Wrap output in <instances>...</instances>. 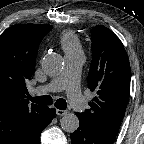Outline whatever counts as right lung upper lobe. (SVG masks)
Instances as JSON below:
<instances>
[{"mask_svg":"<svg viewBox=\"0 0 144 144\" xmlns=\"http://www.w3.org/2000/svg\"><path fill=\"white\" fill-rule=\"evenodd\" d=\"M51 29L17 24L0 35V144L21 142L46 109L28 105L25 82L34 73L39 44Z\"/></svg>","mask_w":144,"mask_h":144,"instance_id":"right-lung-upper-lobe-1","label":"right lung upper lobe"}]
</instances>
